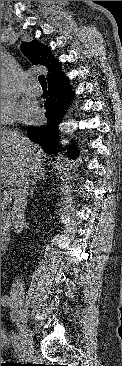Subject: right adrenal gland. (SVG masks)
<instances>
[{"mask_svg": "<svg viewBox=\"0 0 122 366\" xmlns=\"http://www.w3.org/2000/svg\"><path fill=\"white\" fill-rule=\"evenodd\" d=\"M42 177H44V173H42L40 176H34L33 180H32V186L30 188V196L33 197V194H34V189H35V186H36V182L41 180Z\"/></svg>", "mask_w": 122, "mask_h": 366, "instance_id": "obj_1", "label": "right adrenal gland"}]
</instances>
